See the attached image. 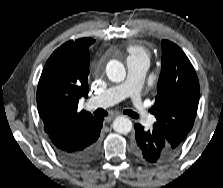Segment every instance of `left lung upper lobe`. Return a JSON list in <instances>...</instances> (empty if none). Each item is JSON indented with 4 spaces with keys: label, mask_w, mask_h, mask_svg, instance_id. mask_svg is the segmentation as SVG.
<instances>
[{
    "label": "left lung upper lobe",
    "mask_w": 223,
    "mask_h": 188,
    "mask_svg": "<svg viewBox=\"0 0 223 188\" xmlns=\"http://www.w3.org/2000/svg\"><path fill=\"white\" fill-rule=\"evenodd\" d=\"M157 96L151 112L162 132L177 152L190 132L198 108L199 81L196 72L179 46L162 40V69Z\"/></svg>",
    "instance_id": "left-lung-upper-lobe-1"
}]
</instances>
